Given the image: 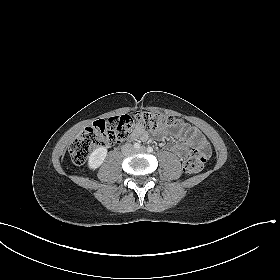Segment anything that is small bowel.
I'll return each mask as SVG.
<instances>
[{"label": "small bowel", "instance_id": "c3829d8e", "mask_svg": "<svg viewBox=\"0 0 280 280\" xmlns=\"http://www.w3.org/2000/svg\"><path fill=\"white\" fill-rule=\"evenodd\" d=\"M184 128H185V137L183 139V142L181 144H174L171 147V150L174 153L183 156L187 153L188 149L191 147H196V149L209 148L206 139L200 133L199 130L195 128H191L187 125H184ZM130 138L132 140H146L148 138V132L138 125L131 132Z\"/></svg>", "mask_w": 280, "mask_h": 280}]
</instances>
